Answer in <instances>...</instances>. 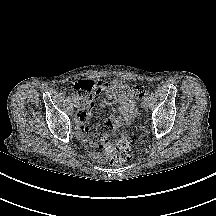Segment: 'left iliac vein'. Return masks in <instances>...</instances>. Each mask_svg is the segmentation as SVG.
Returning <instances> with one entry per match:
<instances>
[{
	"label": "left iliac vein",
	"mask_w": 216,
	"mask_h": 216,
	"mask_svg": "<svg viewBox=\"0 0 216 216\" xmlns=\"http://www.w3.org/2000/svg\"><path fill=\"white\" fill-rule=\"evenodd\" d=\"M148 104H149L148 99H144V100L142 101V103H141V106H142L143 108H147V107H148Z\"/></svg>",
	"instance_id": "left-iliac-vein-1"
}]
</instances>
